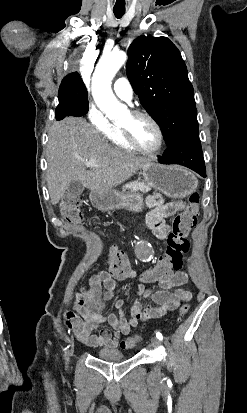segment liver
Listing matches in <instances>:
<instances>
[{"instance_id": "liver-1", "label": "liver", "mask_w": 247, "mask_h": 413, "mask_svg": "<svg viewBox=\"0 0 247 413\" xmlns=\"http://www.w3.org/2000/svg\"><path fill=\"white\" fill-rule=\"evenodd\" d=\"M46 180L52 204H57L70 182L80 180L89 190H107L121 184L150 158L113 148L85 118L67 116L49 130ZM96 158L97 166L84 160Z\"/></svg>"}]
</instances>
